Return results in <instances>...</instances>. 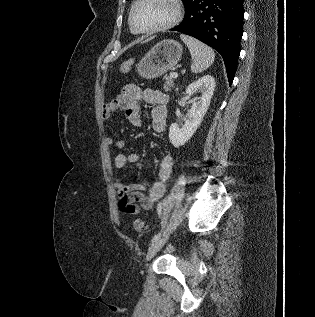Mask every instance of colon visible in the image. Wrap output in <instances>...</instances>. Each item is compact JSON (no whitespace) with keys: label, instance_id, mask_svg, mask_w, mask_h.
<instances>
[{"label":"colon","instance_id":"obj_1","mask_svg":"<svg viewBox=\"0 0 315 317\" xmlns=\"http://www.w3.org/2000/svg\"><path fill=\"white\" fill-rule=\"evenodd\" d=\"M132 65H133V60L131 59L123 61L120 65V72L122 74L128 73L131 70ZM133 227L137 232H142L145 226L142 220L136 219L133 223Z\"/></svg>","mask_w":315,"mask_h":317}]
</instances>
